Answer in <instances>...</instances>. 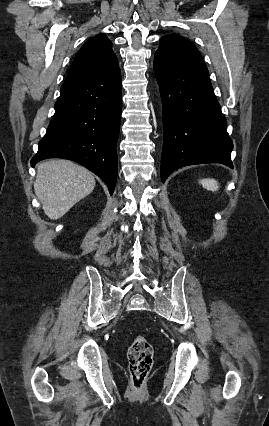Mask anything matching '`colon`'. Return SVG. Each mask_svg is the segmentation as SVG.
<instances>
[{"mask_svg": "<svg viewBox=\"0 0 269 426\" xmlns=\"http://www.w3.org/2000/svg\"><path fill=\"white\" fill-rule=\"evenodd\" d=\"M129 372L134 390L143 388L153 366V348L145 336H136L128 350Z\"/></svg>", "mask_w": 269, "mask_h": 426, "instance_id": "colon-1", "label": "colon"}]
</instances>
